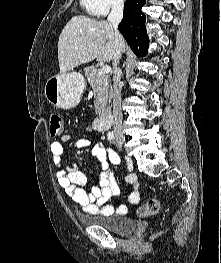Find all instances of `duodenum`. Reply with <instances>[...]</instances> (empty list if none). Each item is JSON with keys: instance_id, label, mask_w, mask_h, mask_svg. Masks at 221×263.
Instances as JSON below:
<instances>
[{"instance_id": "duodenum-1", "label": "duodenum", "mask_w": 221, "mask_h": 263, "mask_svg": "<svg viewBox=\"0 0 221 263\" xmlns=\"http://www.w3.org/2000/svg\"><path fill=\"white\" fill-rule=\"evenodd\" d=\"M111 123H112V113H111V108H109L99 118L95 120L94 128L99 132H103L110 127Z\"/></svg>"}]
</instances>
